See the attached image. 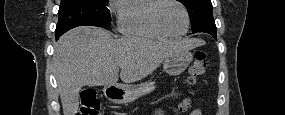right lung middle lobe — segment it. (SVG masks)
I'll list each match as a JSON object with an SVG mask.
<instances>
[{
  "label": "right lung middle lobe",
  "instance_id": "obj_1",
  "mask_svg": "<svg viewBox=\"0 0 285 115\" xmlns=\"http://www.w3.org/2000/svg\"><path fill=\"white\" fill-rule=\"evenodd\" d=\"M108 0H61L55 34L62 35L77 26H109Z\"/></svg>",
  "mask_w": 285,
  "mask_h": 115
}]
</instances>
